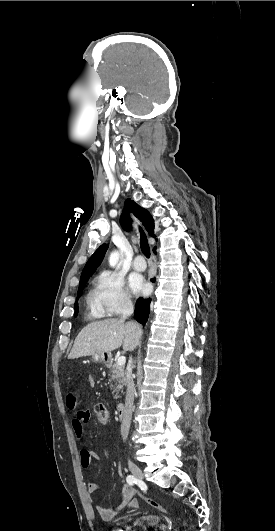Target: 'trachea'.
I'll return each mask as SVG.
<instances>
[{
  "label": "trachea",
  "instance_id": "3493384b",
  "mask_svg": "<svg viewBox=\"0 0 275 531\" xmlns=\"http://www.w3.org/2000/svg\"><path fill=\"white\" fill-rule=\"evenodd\" d=\"M140 232H141V237H140L141 251L147 258H149L150 257V248H149V243L147 241V236L144 233V231H142V229H140Z\"/></svg>",
  "mask_w": 275,
  "mask_h": 531
}]
</instances>
